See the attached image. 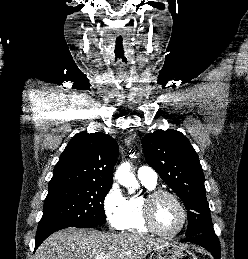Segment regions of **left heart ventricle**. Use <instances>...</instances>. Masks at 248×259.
<instances>
[{
	"label": "left heart ventricle",
	"instance_id": "1",
	"mask_svg": "<svg viewBox=\"0 0 248 259\" xmlns=\"http://www.w3.org/2000/svg\"><path fill=\"white\" fill-rule=\"evenodd\" d=\"M154 215L158 227L164 232H173L181 224V210L170 197L163 196L157 200Z\"/></svg>",
	"mask_w": 248,
	"mask_h": 259
}]
</instances>
